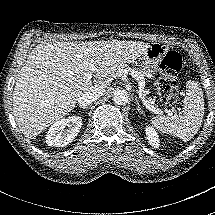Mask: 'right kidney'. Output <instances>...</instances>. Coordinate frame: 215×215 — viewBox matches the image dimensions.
Segmentation results:
<instances>
[{"instance_id":"1","label":"right kidney","mask_w":215,"mask_h":215,"mask_svg":"<svg viewBox=\"0 0 215 215\" xmlns=\"http://www.w3.org/2000/svg\"><path fill=\"white\" fill-rule=\"evenodd\" d=\"M82 126V118L70 116L56 121L49 129L46 144L51 147H65L77 136Z\"/></svg>"}]
</instances>
